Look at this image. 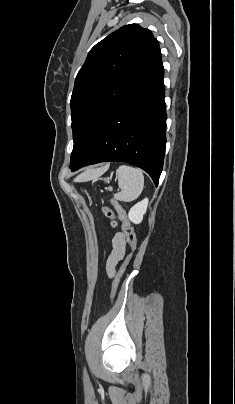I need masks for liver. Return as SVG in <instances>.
Instances as JSON below:
<instances>
[{
	"label": "liver",
	"mask_w": 235,
	"mask_h": 404,
	"mask_svg": "<svg viewBox=\"0 0 235 404\" xmlns=\"http://www.w3.org/2000/svg\"><path fill=\"white\" fill-rule=\"evenodd\" d=\"M104 169L99 168V169H87L84 173H82L80 176H78V179L86 180V179H92L97 177L99 174L102 173Z\"/></svg>",
	"instance_id": "6515ba94"
}]
</instances>
